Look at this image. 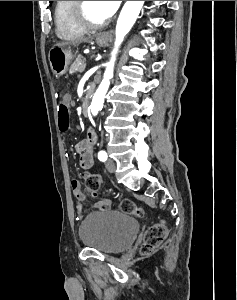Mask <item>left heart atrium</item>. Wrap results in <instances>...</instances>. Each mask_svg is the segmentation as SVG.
Returning <instances> with one entry per match:
<instances>
[{"instance_id":"1","label":"left heart atrium","mask_w":237,"mask_h":300,"mask_svg":"<svg viewBox=\"0 0 237 300\" xmlns=\"http://www.w3.org/2000/svg\"><path fill=\"white\" fill-rule=\"evenodd\" d=\"M103 3L110 15H113L117 11L121 1H103Z\"/></svg>"}]
</instances>
